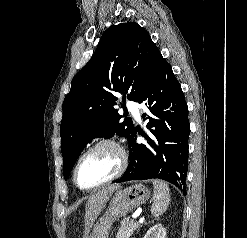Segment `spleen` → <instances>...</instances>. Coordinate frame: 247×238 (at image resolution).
Returning a JSON list of instances; mask_svg holds the SVG:
<instances>
[{
	"label": "spleen",
	"mask_w": 247,
	"mask_h": 238,
	"mask_svg": "<svg viewBox=\"0 0 247 238\" xmlns=\"http://www.w3.org/2000/svg\"><path fill=\"white\" fill-rule=\"evenodd\" d=\"M152 183L154 186V192L151 213L155 217H159L166 211L169 205L170 190L168 185L162 180L155 179Z\"/></svg>",
	"instance_id": "3e777b00"
}]
</instances>
